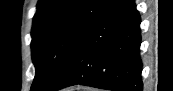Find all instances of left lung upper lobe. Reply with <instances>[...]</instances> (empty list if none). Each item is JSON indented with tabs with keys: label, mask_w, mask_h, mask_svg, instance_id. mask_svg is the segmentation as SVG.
<instances>
[{
	"label": "left lung upper lobe",
	"mask_w": 173,
	"mask_h": 91,
	"mask_svg": "<svg viewBox=\"0 0 173 91\" xmlns=\"http://www.w3.org/2000/svg\"><path fill=\"white\" fill-rule=\"evenodd\" d=\"M114 0H39L32 27V59L36 73L31 91H49Z\"/></svg>",
	"instance_id": "obj_1"
}]
</instances>
